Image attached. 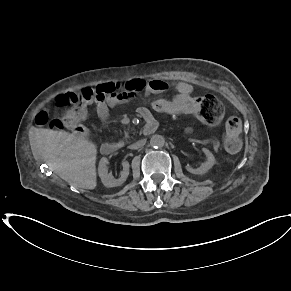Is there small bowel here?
<instances>
[{"label":"small bowel","mask_w":291,"mask_h":291,"mask_svg":"<svg viewBox=\"0 0 291 291\" xmlns=\"http://www.w3.org/2000/svg\"><path fill=\"white\" fill-rule=\"evenodd\" d=\"M168 89H174L176 91V96L174 98H194L192 96V87L190 84L186 82H176L170 84L164 80L160 79H151L144 80L142 78H133L128 80L125 83V87L123 90L118 91L112 97H108L102 101L96 103V113L100 120L104 121L108 118L109 109L116 107L127 100L135 97L140 92L149 95V94H157L162 93ZM155 109V107H153ZM156 110V109H155ZM157 111V110H156ZM138 112L145 118L152 117L150 110L146 107H140ZM159 112V111H158ZM166 113V112H162ZM172 116H181L166 113ZM192 115V114H191Z\"/></svg>","instance_id":"small-bowel-1"}]
</instances>
